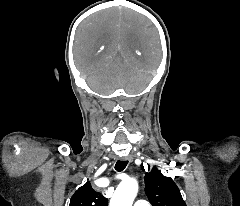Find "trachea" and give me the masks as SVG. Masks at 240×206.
I'll use <instances>...</instances> for the list:
<instances>
[{
    "instance_id": "3493384b",
    "label": "trachea",
    "mask_w": 240,
    "mask_h": 206,
    "mask_svg": "<svg viewBox=\"0 0 240 206\" xmlns=\"http://www.w3.org/2000/svg\"><path fill=\"white\" fill-rule=\"evenodd\" d=\"M127 164H128L127 161H119V160H118V161L116 162L115 169L120 172V171H122V170L125 169V167L127 166Z\"/></svg>"
}]
</instances>
